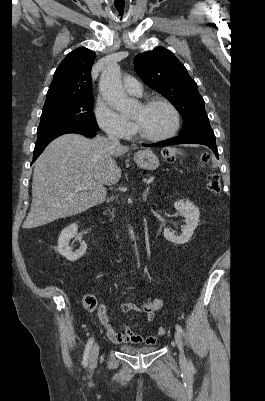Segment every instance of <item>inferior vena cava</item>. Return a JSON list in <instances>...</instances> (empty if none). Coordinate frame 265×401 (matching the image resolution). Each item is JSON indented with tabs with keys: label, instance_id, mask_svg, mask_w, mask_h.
<instances>
[{
	"label": "inferior vena cava",
	"instance_id": "obj_1",
	"mask_svg": "<svg viewBox=\"0 0 265 401\" xmlns=\"http://www.w3.org/2000/svg\"><path fill=\"white\" fill-rule=\"evenodd\" d=\"M108 138H111L115 144H119V140L116 138V136H114V134H108Z\"/></svg>",
	"mask_w": 265,
	"mask_h": 401
}]
</instances>
